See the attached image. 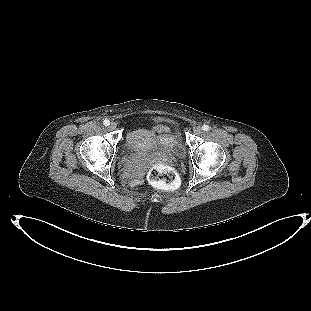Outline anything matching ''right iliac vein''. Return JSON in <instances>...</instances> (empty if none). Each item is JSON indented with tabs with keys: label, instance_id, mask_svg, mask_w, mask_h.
Wrapping results in <instances>:
<instances>
[{
	"label": "right iliac vein",
	"instance_id": "63e3f726",
	"mask_svg": "<svg viewBox=\"0 0 311 311\" xmlns=\"http://www.w3.org/2000/svg\"><path fill=\"white\" fill-rule=\"evenodd\" d=\"M116 127H117L116 122H111V123L109 124V128H110L111 130L116 129Z\"/></svg>",
	"mask_w": 311,
	"mask_h": 311
}]
</instances>
